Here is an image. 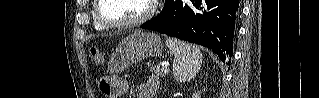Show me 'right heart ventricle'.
<instances>
[{
	"label": "right heart ventricle",
	"instance_id": "1",
	"mask_svg": "<svg viewBox=\"0 0 319 98\" xmlns=\"http://www.w3.org/2000/svg\"><path fill=\"white\" fill-rule=\"evenodd\" d=\"M93 26H94V28H95L96 30H98V31H102V30L105 29L103 26H101V25L97 22V20L95 19V17L93 18Z\"/></svg>",
	"mask_w": 319,
	"mask_h": 98
}]
</instances>
